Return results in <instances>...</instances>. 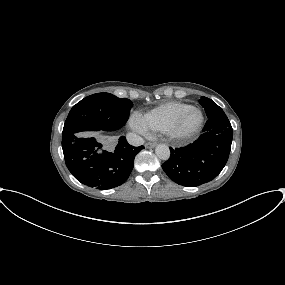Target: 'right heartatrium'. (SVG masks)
Instances as JSON below:
<instances>
[{
    "mask_svg": "<svg viewBox=\"0 0 285 285\" xmlns=\"http://www.w3.org/2000/svg\"><path fill=\"white\" fill-rule=\"evenodd\" d=\"M130 125H131L133 128H135V129H137V130H139V131H141V132H146V130L143 128V126H142L141 123L137 120V117H135V116H133V117L131 118V120H130Z\"/></svg>",
    "mask_w": 285,
    "mask_h": 285,
    "instance_id": "d8ad5b80",
    "label": "right heart atrium"
}]
</instances>
